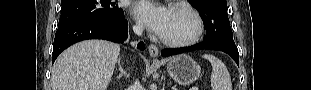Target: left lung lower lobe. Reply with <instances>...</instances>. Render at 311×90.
Segmentation results:
<instances>
[{
	"instance_id": "obj_1",
	"label": "left lung lower lobe",
	"mask_w": 311,
	"mask_h": 90,
	"mask_svg": "<svg viewBox=\"0 0 311 90\" xmlns=\"http://www.w3.org/2000/svg\"><path fill=\"white\" fill-rule=\"evenodd\" d=\"M200 49H209L225 52L229 54L239 66V53L235 43L224 40H204L202 43L190 47L177 48V49H164L161 51V55L166 57Z\"/></svg>"
}]
</instances>
